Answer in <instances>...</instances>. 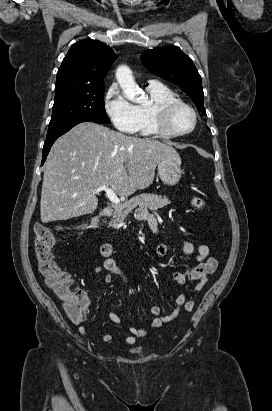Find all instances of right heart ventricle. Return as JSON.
I'll return each instance as SVG.
<instances>
[{"mask_svg":"<svg viewBox=\"0 0 272 411\" xmlns=\"http://www.w3.org/2000/svg\"><path fill=\"white\" fill-rule=\"evenodd\" d=\"M147 91L151 96L152 103L148 105L136 106L138 112V127L137 132L143 136H160L156 131L153 123L151 110L155 104L160 102L176 99L175 93L167 86L159 83L148 84Z\"/></svg>","mask_w":272,"mask_h":411,"instance_id":"right-heart-ventricle-1","label":"right heart ventricle"}]
</instances>
